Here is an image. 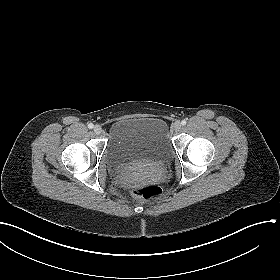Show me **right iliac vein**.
<instances>
[{
    "label": "right iliac vein",
    "mask_w": 280,
    "mask_h": 280,
    "mask_svg": "<svg viewBox=\"0 0 280 280\" xmlns=\"http://www.w3.org/2000/svg\"><path fill=\"white\" fill-rule=\"evenodd\" d=\"M93 130L96 134H100L102 132V128L100 125H95Z\"/></svg>",
    "instance_id": "obj_1"
}]
</instances>
